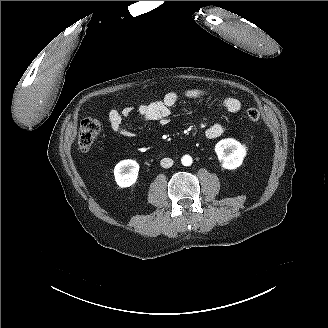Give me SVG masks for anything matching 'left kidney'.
I'll list each match as a JSON object with an SVG mask.
<instances>
[{
  "mask_svg": "<svg viewBox=\"0 0 328 328\" xmlns=\"http://www.w3.org/2000/svg\"><path fill=\"white\" fill-rule=\"evenodd\" d=\"M247 150V146L232 138L220 140L215 145L218 160L225 170H235L240 167L247 156Z\"/></svg>",
  "mask_w": 328,
  "mask_h": 328,
  "instance_id": "obj_1",
  "label": "left kidney"
}]
</instances>
